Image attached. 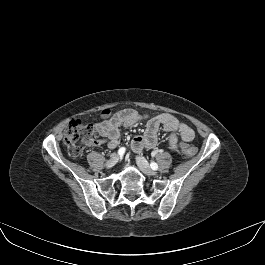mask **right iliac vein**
<instances>
[{
	"label": "right iliac vein",
	"instance_id": "right-iliac-vein-1",
	"mask_svg": "<svg viewBox=\"0 0 265 265\" xmlns=\"http://www.w3.org/2000/svg\"><path fill=\"white\" fill-rule=\"evenodd\" d=\"M119 156L117 154H113L111 158L106 162L105 166L106 168L110 169L112 168L118 161Z\"/></svg>",
	"mask_w": 265,
	"mask_h": 265
}]
</instances>
